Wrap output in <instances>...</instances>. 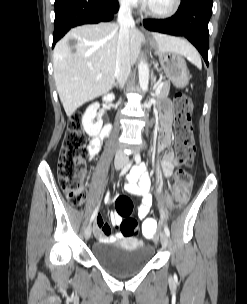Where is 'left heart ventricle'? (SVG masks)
Here are the masks:
<instances>
[{
    "instance_id": "left-heart-ventricle-1",
    "label": "left heart ventricle",
    "mask_w": 247,
    "mask_h": 304,
    "mask_svg": "<svg viewBox=\"0 0 247 304\" xmlns=\"http://www.w3.org/2000/svg\"><path fill=\"white\" fill-rule=\"evenodd\" d=\"M174 0H149V7L156 12H166L173 6Z\"/></svg>"
}]
</instances>
